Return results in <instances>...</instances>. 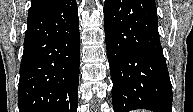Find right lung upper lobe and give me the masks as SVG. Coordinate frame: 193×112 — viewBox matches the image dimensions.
<instances>
[{"instance_id":"obj_1","label":"right lung upper lobe","mask_w":193,"mask_h":112,"mask_svg":"<svg viewBox=\"0 0 193 112\" xmlns=\"http://www.w3.org/2000/svg\"><path fill=\"white\" fill-rule=\"evenodd\" d=\"M58 1L59 0H32L28 16L42 12L56 4Z\"/></svg>"}]
</instances>
